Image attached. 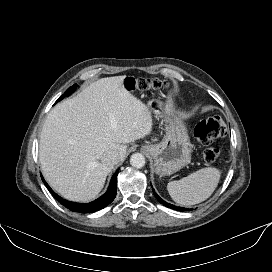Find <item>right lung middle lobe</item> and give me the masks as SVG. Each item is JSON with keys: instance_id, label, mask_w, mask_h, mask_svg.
Listing matches in <instances>:
<instances>
[{"instance_id": "1", "label": "right lung middle lobe", "mask_w": 272, "mask_h": 272, "mask_svg": "<svg viewBox=\"0 0 272 272\" xmlns=\"http://www.w3.org/2000/svg\"><path fill=\"white\" fill-rule=\"evenodd\" d=\"M76 87H77V84H74L72 87H69L67 89V91L61 97H59V99L56 101V103L58 101H61L64 97L69 96L72 92H74V90L76 89Z\"/></svg>"}]
</instances>
